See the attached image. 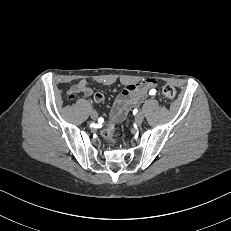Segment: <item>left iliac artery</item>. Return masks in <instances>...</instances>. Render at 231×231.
I'll list each match as a JSON object with an SVG mask.
<instances>
[{
    "instance_id": "obj_1",
    "label": "left iliac artery",
    "mask_w": 231,
    "mask_h": 231,
    "mask_svg": "<svg viewBox=\"0 0 231 231\" xmlns=\"http://www.w3.org/2000/svg\"><path fill=\"white\" fill-rule=\"evenodd\" d=\"M156 94V90L155 89H151L150 91H149V95H155Z\"/></svg>"
}]
</instances>
